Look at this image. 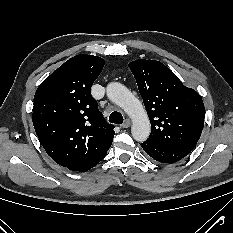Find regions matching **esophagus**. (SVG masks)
I'll return each instance as SVG.
<instances>
[{
	"instance_id": "obj_1",
	"label": "esophagus",
	"mask_w": 233,
	"mask_h": 233,
	"mask_svg": "<svg viewBox=\"0 0 233 233\" xmlns=\"http://www.w3.org/2000/svg\"><path fill=\"white\" fill-rule=\"evenodd\" d=\"M131 122L129 119H126L125 122L121 125L122 128H128L130 127Z\"/></svg>"
}]
</instances>
